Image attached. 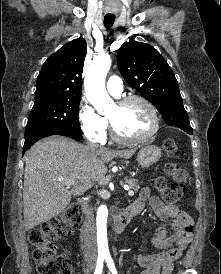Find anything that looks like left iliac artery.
Masks as SVG:
<instances>
[{"instance_id": "left-iliac-artery-1", "label": "left iliac artery", "mask_w": 221, "mask_h": 274, "mask_svg": "<svg viewBox=\"0 0 221 274\" xmlns=\"http://www.w3.org/2000/svg\"><path fill=\"white\" fill-rule=\"evenodd\" d=\"M105 260H106L107 266L110 269V271L112 272V274H117L116 267L114 265V262L112 260V257L110 256V254L105 255Z\"/></svg>"}]
</instances>
